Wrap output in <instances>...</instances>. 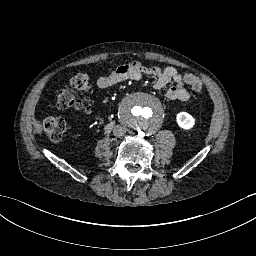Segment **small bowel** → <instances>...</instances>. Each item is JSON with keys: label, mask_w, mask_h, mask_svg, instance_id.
I'll return each mask as SVG.
<instances>
[{"label": "small bowel", "mask_w": 256, "mask_h": 256, "mask_svg": "<svg viewBox=\"0 0 256 256\" xmlns=\"http://www.w3.org/2000/svg\"><path fill=\"white\" fill-rule=\"evenodd\" d=\"M143 74L155 77L154 87L157 90H163L169 83H174L166 91V97L169 100L187 101L189 99L190 95L185 88L184 77L176 68L147 66L137 61L123 64L110 73L101 75L97 80V86L101 89L111 88L127 79L139 80Z\"/></svg>", "instance_id": "c3829d8e"}]
</instances>
